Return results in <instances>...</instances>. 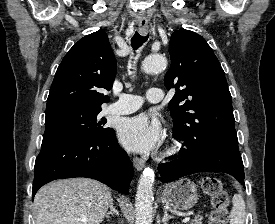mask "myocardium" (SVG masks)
<instances>
[{
	"instance_id": "obj_1",
	"label": "myocardium",
	"mask_w": 275,
	"mask_h": 224,
	"mask_svg": "<svg viewBox=\"0 0 275 224\" xmlns=\"http://www.w3.org/2000/svg\"><path fill=\"white\" fill-rule=\"evenodd\" d=\"M174 150H175L174 148H171V149H169V150L167 151L166 154H170V153H172Z\"/></svg>"
}]
</instances>
